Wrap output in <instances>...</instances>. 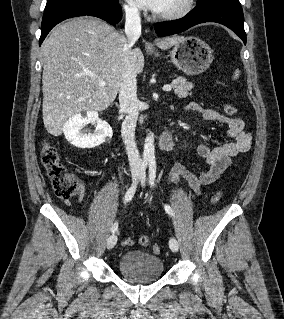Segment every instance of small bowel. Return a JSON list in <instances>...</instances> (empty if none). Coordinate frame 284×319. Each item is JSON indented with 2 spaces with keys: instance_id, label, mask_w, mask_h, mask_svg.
<instances>
[{
  "instance_id": "c3829d8e",
  "label": "small bowel",
  "mask_w": 284,
  "mask_h": 319,
  "mask_svg": "<svg viewBox=\"0 0 284 319\" xmlns=\"http://www.w3.org/2000/svg\"><path fill=\"white\" fill-rule=\"evenodd\" d=\"M187 110L200 113L207 121L226 125L227 135L231 138V141L218 146L199 144L196 147V154L205 161L206 166L203 168L193 171L184 163H177L172 167L170 171L172 182L176 183L180 178H184L190 189L199 194L201 186L214 183L230 168L232 158L250 149L252 136L244 130V122L238 117L224 116L216 110L203 108L197 103L188 104ZM84 197L82 189L79 195L80 203L83 202Z\"/></svg>"
}]
</instances>
